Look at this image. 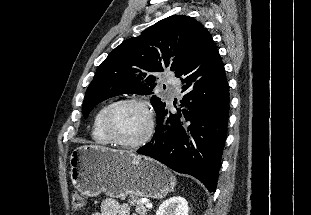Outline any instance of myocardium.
Wrapping results in <instances>:
<instances>
[{
	"instance_id": "f54148a6",
	"label": "myocardium",
	"mask_w": 311,
	"mask_h": 215,
	"mask_svg": "<svg viewBox=\"0 0 311 215\" xmlns=\"http://www.w3.org/2000/svg\"><path fill=\"white\" fill-rule=\"evenodd\" d=\"M124 105H137L142 107L148 117V127L146 130V133L142 138H140L137 141L134 142H127L122 139H120L115 132L113 131L112 125H111V120L113 117V114L116 112V110ZM102 129L105 133V135L110 139V141L113 144H116L118 146L124 147V148H130V149H135L139 148L143 145H145L152 137L153 132H154V116L152 109L150 108L149 104L137 97H132V98H124L121 100H118L116 102H113L110 104V106L106 109L104 112L103 118H102Z\"/></svg>"
}]
</instances>
